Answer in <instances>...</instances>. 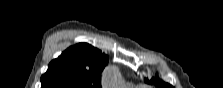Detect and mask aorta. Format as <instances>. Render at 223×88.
Segmentation results:
<instances>
[{
    "instance_id": "obj_1",
    "label": "aorta",
    "mask_w": 223,
    "mask_h": 88,
    "mask_svg": "<svg viewBox=\"0 0 223 88\" xmlns=\"http://www.w3.org/2000/svg\"><path fill=\"white\" fill-rule=\"evenodd\" d=\"M121 79L115 67H108L103 75V86L107 88H119Z\"/></svg>"
}]
</instances>
